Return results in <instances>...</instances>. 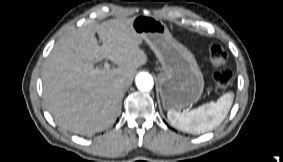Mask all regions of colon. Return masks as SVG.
<instances>
[{
	"label": "colon",
	"mask_w": 283,
	"mask_h": 162,
	"mask_svg": "<svg viewBox=\"0 0 283 162\" xmlns=\"http://www.w3.org/2000/svg\"><path fill=\"white\" fill-rule=\"evenodd\" d=\"M210 61L216 68L213 75L215 82V91L218 94H222L230 85L233 72L226 68V62L228 60V54L220 44H212L210 47Z\"/></svg>",
	"instance_id": "obj_1"
}]
</instances>
